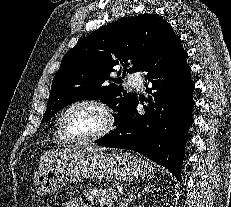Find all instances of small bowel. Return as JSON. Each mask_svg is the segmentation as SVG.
Wrapping results in <instances>:
<instances>
[{"label": "small bowel", "instance_id": "1", "mask_svg": "<svg viewBox=\"0 0 231 207\" xmlns=\"http://www.w3.org/2000/svg\"><path fill=\"white\" fill-rule=\"evenodd\" d=\"M63 207H86V205L81 198H74V199L64 203Z\"/></svg>", "mask_w": 231, "mask_h": 207}]
</instances>
